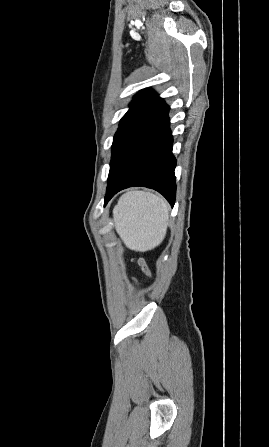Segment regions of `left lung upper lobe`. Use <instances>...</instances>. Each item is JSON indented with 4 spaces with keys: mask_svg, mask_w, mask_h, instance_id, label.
Instances as JSON below:
<instances>
[{
    "mask_svg": "<svg viewBox=\"0 0 269 447\" xmlns=\"http://www.w3.org/2000/svg\"><path fill=\"white\" fill-rule=\"evenodd\" d=\"M130 106L121 119L120 127L113 139L108 184L134 148L168 114L169 110L165 102L151 89L140 91Z\"/></svg>",
    "mask_w": 269,
    "mask_h": 447,
    "instance_id": "1",
    "label": "left lung upper lobe"
}]
</instances>
